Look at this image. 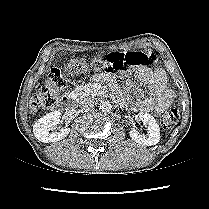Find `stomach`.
I'll list each match as a JSON object with an SVG mask.
<instances>
[{
    "label": "stomach",
    "instance_id": "0dacf381",
    "mask_svg": "<svg viewBox=\"0 0 209 209\" xmlns=\"http://www.w3.org/2000/svg\"><path fill=\"white\" fill-rule=\"evenodd\" d=\"M69 71L72 76L76 78H81L86 75L88 71V66L85 61L81 59H76L71 62L69 66Z\"/></svg>",
    "mask_w": 209,
    "mask_h": 209
}]
</instances>
